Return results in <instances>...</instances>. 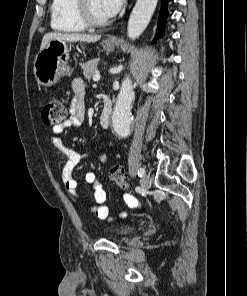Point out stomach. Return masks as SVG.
<instances>
[{
  "mask_svg": "<svg viewBox=\"0 0 247 296\" xmlns=\"http://www.w3.org/2000/svg\"><path fill=\"white\" fill-rule=\"evenodd\" d=\"M105 51L111 52L115 44L102 41ZM69 48L65 41L52 40L39 51L34 60L33 73L39 85L50 87L57 83L62 75L70 74L68 65Z\"/></svg>",
  "mask_w": 247,
  "mask_h": 296,
  "instance_id": "1",
  "label": "stomach"
}]
</instances>
